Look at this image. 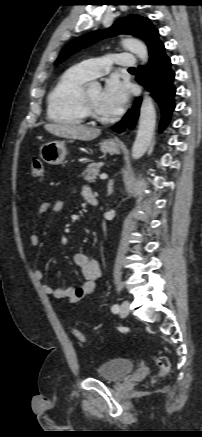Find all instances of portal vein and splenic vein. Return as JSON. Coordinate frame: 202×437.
<instances>
[{
  "instance_id": "18ae733b",
  "label": "portal vein and splenic vein",
  "mask_w": 202,
  "mask_h": 437,
  "mask_svg": "<svg viewBox=\"0 0 202 437\" xmlns=\"http://www.w3.org/2000/svg\"><path fill=\"white\" fill-rule=\"evenodd\" d=\"M108 176H107V174H105V173H103V174H101L100 175V179H106Z\"/></svg>"
}]
</instances>
